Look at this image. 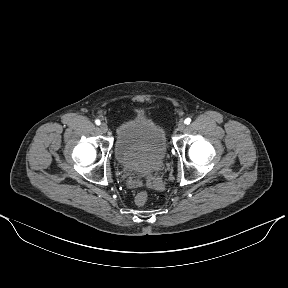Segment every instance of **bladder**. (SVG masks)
<instances>
[{
    "mask_svg": "<svg viewBox=\"0 0 288 288\" xmlns=\"http://www.w3.org/2000/svg\"><path fill=\"white\" fill-rule=\"evenodd\" d=\"M163 128L151 118L137 114L122 122L114 145L117 161L129 171L148 176L159 169L167 154Z\"/></svg>",
    "mask_w": 288,
    "mask_h": 288,
    "instance_id": "bladder-1",
    "label": "bladder"
}]
</instances>
